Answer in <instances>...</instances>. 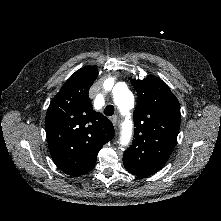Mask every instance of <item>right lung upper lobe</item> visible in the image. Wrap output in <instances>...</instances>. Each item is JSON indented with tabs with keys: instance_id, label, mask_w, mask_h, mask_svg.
Instances as JSON below:
<instances>
[{
	"instance_id": "cb5924a9",
	"label": "right lung upper lobe",
	"mask_w": 221,
	"mask_h": 221,
	"mask_svg": "<svg viewBox=\"0 0 221 221\" xmlns=\"http://www.w3.org/2000/svg\"><path fill=\"white\" fill-rule=\"evenodd\" d=\"M98 71L85 66L76 71L52 99L46 114L50 154L57 167L71 176L89 172L105 143L114 136L111 121L92 109L88 96Z\"/></svg>"
}]
</instances>
